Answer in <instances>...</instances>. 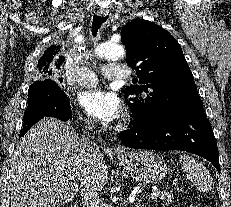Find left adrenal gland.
<instances>
[{
  "label": "left adrenal gland",
  "mask_w": 231,
  "mask_h": 207,
  "mask_svg": "<svg viewBox=\"0 0 231 207\" xmlns=\"http://www.w3.org/2000/svg\"><path fill=\"white\" fill-rule=\"evenodd\" d=\"M140 206H141V200H138V201L136 202L135 207H140Z\"/></svg>",
  "instance_id": "left-adrenal-gland-1"
}]
</instances>
